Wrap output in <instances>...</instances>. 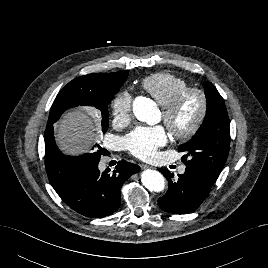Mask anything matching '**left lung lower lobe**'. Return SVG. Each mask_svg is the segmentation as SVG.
<instances>
[{
	"label": "left lung lower lobe",
	"mask_w": 268,
	"mask_h": 268,
	"mask_svg": "<svg viewBox=\"0 0 268 268\" xmlns=\"http://www.w3.org/2000/svg\"><path fill=\"white\" fill-rule=\"evenodd\" d=\"M169 183L167 193L159 198L162 210L173 214H188L195 211L207 198L211 187L216 181L208 172L186 166L185 173L174 175L168 169H159Z\"/></svg>",
	"instance_id": "1"
}]
</instances>
